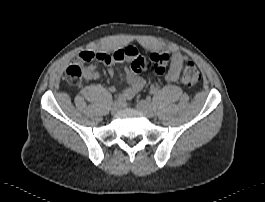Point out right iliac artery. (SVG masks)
Wrapping results in <instances>:
<instances>
[{
  "instance_id": "82829eb1",
  "label": "right iliac artery",
  "mask_w": 265,
  "mask_h": 202,
  "mask_svg": "<svg viewBox=\"0 0 265 202\" xmlns=\"http://www.w3.org/2000/svg\"><path fill=\"white\" fill-rule=\"evenodd\" d=\"M123 101L124 99L121 96L117 97V99L115 100V102H118L119 104H121Z\"/></svg>"
}]
</instances>
